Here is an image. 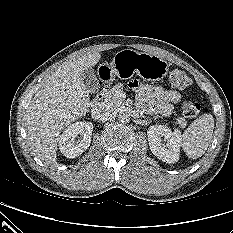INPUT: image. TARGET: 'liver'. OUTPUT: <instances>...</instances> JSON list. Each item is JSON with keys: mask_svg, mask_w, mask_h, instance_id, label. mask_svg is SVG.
I'll return each mask as SVG.
<instances>
[{"mask_svg": "<svg viewBox=\"0 0 233 233\" xmlns=\"http://www.w3.org/2000/svg\"><path fill=\"white\" fill-rule=\"evenodd\" d=\"M100 58L95 52L65 63L45 80L31 101L26 114L28 140L47 163H56L61 131L89 111V90L81 75Z\"/></svg>", "mask_w": 233, "mask_h": 233, "instance_id": "obj_1", "label": "liver"}]
</instances>
